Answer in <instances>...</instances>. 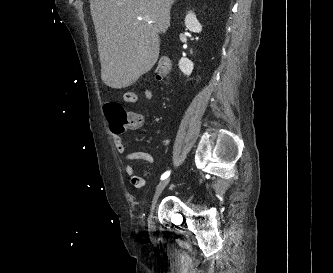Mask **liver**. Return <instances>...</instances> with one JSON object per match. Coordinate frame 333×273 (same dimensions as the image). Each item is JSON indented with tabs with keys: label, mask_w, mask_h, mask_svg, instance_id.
Listing matches in <instances>:
<instances>
[{
	"label": "liver",
	"mask_w": 333,
	"mask_h": 273,
	"mask_svg": "<svg viewBox=\"0 0 333 273\" xmlns=\"http://www.w3.org/2000/svg\"><path fill=\"white\" fill-rule=\"evenodd\" d=\"M173 2L90 0L105 85L128 87L153 68L160 53L159 34L170 26Z\"/></svg>",
	"instance_id": "liver-1"
}]
</instances>
